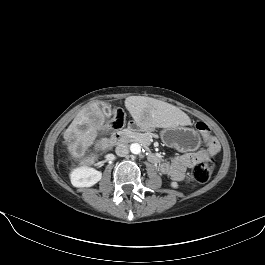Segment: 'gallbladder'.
I'll return each mask as SVG.
<instances>
[{
  "label": "gallbladder",
  "mask_w": 265,
  "mask_h": 265,
  "mask_svg": "<svg viewBox=\"0 0 265 265\" xmlns=\"http://www.w3.org/2000/svg\"><path fill=\"white\" fill-rule=\"evenodd\" d=\"M104 113L107 117H110L112 115L111 106L108 104H104ZM79 129H82V126L78 127Z\"/></svg>",
  "instance_id": "1"
}]
</instances>
